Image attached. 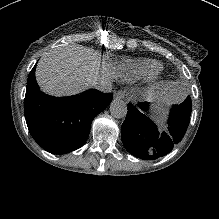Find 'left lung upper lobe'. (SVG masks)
<instances>
[{
	"label": "left lung upper lobe",
	"mask_w": 219,
	"mask_h": 219,
	"mask_svg": "<svg viewBox=\"0 0 219 219\" xmlns=\"http://www.w3.org/2000/svg\"><path fill=\"white\" fill-rule=\"evenodd\" d=\"M179 106L185 108L186 110L191 111V109H192V108H191V106H192L191 98L188 96V97L185 99V101H184L181 105H179Z\"/></svg>",
	"instance_id": "5c2ea615"
}]
</instances>
